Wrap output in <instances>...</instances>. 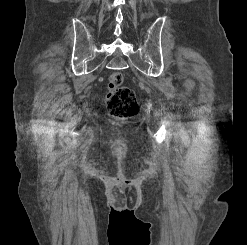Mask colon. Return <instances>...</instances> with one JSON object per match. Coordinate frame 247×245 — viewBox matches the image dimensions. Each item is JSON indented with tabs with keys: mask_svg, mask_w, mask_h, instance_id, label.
Returning <instances> with one entry per match:
<instances>
[{
	"mask_svg": "<svg viewBox=\"0 0 247 245\" xmlns=\"http://www.w3.org/2000/svg\"><path fill=\"white\" fill-rule=\"evenodd\" d=\"M105 103L109 114L117 119H127L137 113L136 95L123 85V76L119 72H112L108 77Z\"/></svg>",
	"mask_w": 247,
	"mask_h": 245,
	"instance_id": "colon-1",
	"label": "colon"
}]
</instances>
